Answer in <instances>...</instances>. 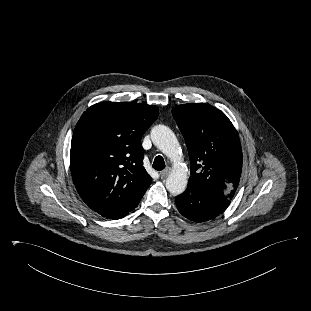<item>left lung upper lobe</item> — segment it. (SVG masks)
Returning <instances> with one entry per match:
<instances>
[{"instance_id": "5c2ea615", "label": "left lung upper lobe", "mask_w": 311, "mask_h": 311, "mask_svg": "<svg viewBox=\"0 0 311 311\" xmlns=\"http://www.w3.org/2000/svg\"><path fill=\"white\" fill-rule=\"evenodd\" d=\"M172 114L189 151V183L232 199L240 181L242 149L231 121L206 103L178 105Z\"/></svg>"}]
</instances>
